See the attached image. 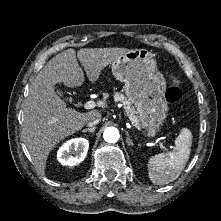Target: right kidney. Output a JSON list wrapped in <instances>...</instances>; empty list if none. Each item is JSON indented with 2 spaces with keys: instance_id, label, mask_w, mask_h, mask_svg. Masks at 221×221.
Here are the masks:
<instances>
[{
  "instance_id": "obj_1",
  "label": "right kidney",
  "mask_w": 221,
  "mask_h": 221,
  "mask_svg": "<svg viewBox=\"0 0 221 221\" xmlns=\"http://www.w3.org/2000/svg\"><path fill=\"white\" fill-rule=\"evenodd\" d=\"M88 148L89 141L87 139H70L59 148L57 152V159L62 165H77L85 159L88 152ZM72 154H74V156Z\"/></svg>"
}]
</instances>
